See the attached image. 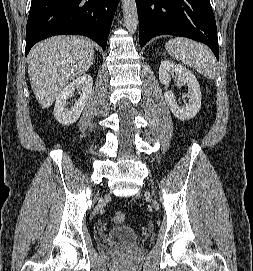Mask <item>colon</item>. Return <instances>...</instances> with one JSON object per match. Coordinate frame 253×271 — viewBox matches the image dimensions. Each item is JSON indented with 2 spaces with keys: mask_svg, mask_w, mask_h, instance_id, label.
Segmentation results:
<instances>
[{
  "mask_svg": "<svg viewBox=\"0 0 253 271\" xmlns=\"http://www.w3.org/2000/svg\"><path fill=\"white\" fill-rule=\"evenodd\" d=\"M112 220L114 223L121 224L125 220V214L122 211H116L112 215Z\"/></svg>",
  "mask_w": 253,
  "mask_h": 271,
  "instance_id": "obj_1",
  "label": "colon"
}]
</instances>
